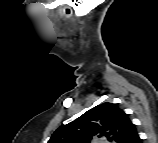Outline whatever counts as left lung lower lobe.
Masks as SVG:
<instances>
[{
  "label": "left lung lower lobe",
  "instance_id": "1",
  "mask_svg": "<svg viewBox=\"0 0 158 143\" xmlns=\"http://www.w3.org/2000/svg\"><path fill=\"white\" fill-rule=\"evenodd\" d=\"M140 142V139H139V137L135 140V142L134 143H139Z\"/></svg>",
  "mask_w": 158,
  "mask_h": 143
}]
</instances>
